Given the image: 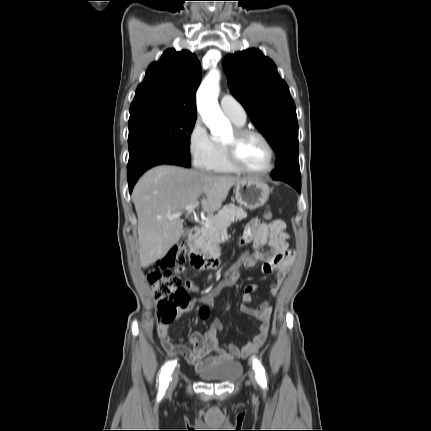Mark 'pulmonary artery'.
<instances>
[{"instance_id": "obj_1", "label": "pulmonary artery", "mask_w": 431, "mask_h": 431, "mask_svg": "<svg viewBox=\"0 0 431 431\" xmlns=\"http://www.w3.org/2000/svg\"><path fill=\"white\" fill-rule=\"evenodd\" d=\"M220 107L222 111L233 121L241 124L245 123L246 111L232 95H223L220 99Z\"/></svg>"}]
</instances>
